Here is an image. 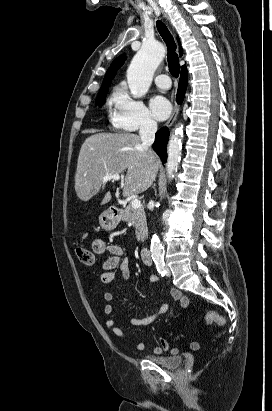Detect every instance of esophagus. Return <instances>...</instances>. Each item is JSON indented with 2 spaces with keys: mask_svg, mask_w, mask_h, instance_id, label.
I'll return each mask as SVG.
<instances>
[{
  "mask_svg": "<svg viewBox=\"0 0 272 411\" xmlns=\"http://www.w3.org/2000/svg\"><path fill=\"white\" fill-rule=\"evenodd\" d=\"M179 110H180L179 105H176V106L174 107V110H173V112H172V115H171L170 119L168 120V122H167V124H166L167 127H171V126H172V124L174 123V121H175L176 118H177V115H178V113H179Z\"/></svg>",
  "mask_w": 272,
  "mask_h": 411,
  "instance_id": "34e87169",
  "label": "esophagus"
}]
</instances>
